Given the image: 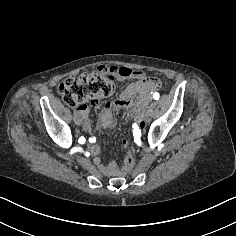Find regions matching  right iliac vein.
Returning a JSON list of instances; mask_svg holds the SVG:
<instances>
[{"mask_svg": "<svg viewBox=\"0 0 236 236\" xmlns=\"http://www.w3.org/2000/svg\"><path fill=\"white\" fill-rule=\"evenodd\" d=\"M82 127L84 128L83 130L86 132L88 129L86 128L87 127V124L86 123H83L82 124Z\"/></svg>", "mask_w": 236, "mask_h": 236, "instance_id": "63e3f726", "label": "right iliac vein"}]
</instances>
